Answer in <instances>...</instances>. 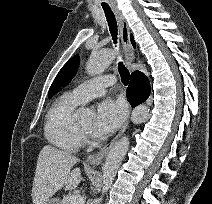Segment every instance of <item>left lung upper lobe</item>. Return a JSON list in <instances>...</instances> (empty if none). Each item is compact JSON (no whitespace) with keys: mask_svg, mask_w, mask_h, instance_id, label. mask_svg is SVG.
<instances>
[{"mask_svg":"<svg viewBox=\"0 0 212 204\" xmlns=\"http://www.w3.org/2000/svg\"><path fill=\"white\" fill-rule=\"evenodd\" d=\"M78 65L79 56L75 55L62 67L49 89V98L71 81L76 74Z\"/></svg>","mask_w":212,"mask_h":204,"instance_id":"left-lung-upper-lobe-1","label":"left lung upper lobe"}]
</instances>
